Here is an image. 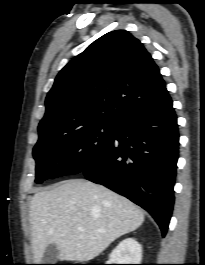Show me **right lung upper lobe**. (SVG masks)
<instances>
[{
	"label": "right lung upper lobe",
	"instance_id": "1",
	"mask_svg": "<svg viewBox=\"0 0 205 265\" xmlns=\"http://www.w3.org/2000/svg\"><path fill=\"white\" fill-rule=\"evenodd\" d=\"M166 90L158 66L129 32L115 30L94 41L57 75L38 131L60 133L136 113Z\"/></svg>",
	"mask_w": 205,
	"mask_h": 265
}]
</instances>
